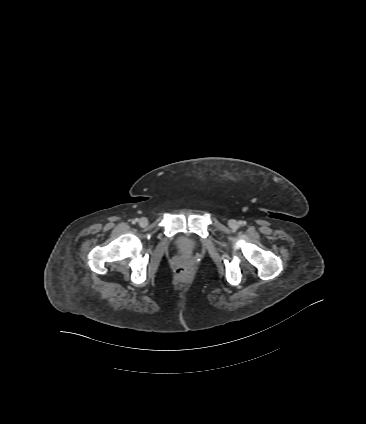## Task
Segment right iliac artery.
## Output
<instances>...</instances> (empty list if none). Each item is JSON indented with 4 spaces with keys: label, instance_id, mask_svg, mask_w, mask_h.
Masks as SVG:
<instances>
[{
    "label": "right iliac artery",
    "instance_id": "1",
    "mask_svg": "<svg viewBox=\"0 0 366 424\" xmlns=\"http://www.w3.org/2000/svg\"><path fill=\"white\" fill-rule=\"evenodd\" d=\"M136 222H138V219H134V220L132 221V223H133V224H135Z\"/></svg>",
    "mask_w": 366,
    "mask_h": 424
}]
</instances>
